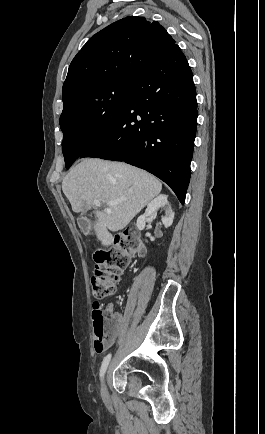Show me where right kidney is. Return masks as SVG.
<instances>
[{"label": "right kidney", "mask_w": 265, "mask_h": 434, "mask_svg": "<svg viewBox=\"0 0 265 434\" xmlns=\"http://www.w3.org/2000/svg\"><path fill=\"white\" fill-rule=\"evenodd\" d=\"M162 206H166V216L162 218V224H164L165 228H169L173 224L174 212L171 210V206L167 200V196L165 194H160V196H156L150 204H148L143 216H139L137 220V228L138 230H144L146 226V222L149 220H153L157 216L158 208H162Z\"/></svg>", "instance_id": "ca27d5eb"}]
</instances>
